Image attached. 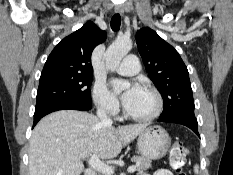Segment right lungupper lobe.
Returning a JSON list of instances; mask_svg holds the SVG:
<instances>
[{
    "label": "right lung upper lobe",
    "instance_id": "cb5924a9",
    "mask_svg": "<svg viewBox=\"0 0 233 175\" xmlns=\"http://www.w3.org/2000/svg\"><path fill=\"white\" fill-rule=\"evenodd\" d=\"M106 37L105 31L88 21L56 45L44 65L40 78L92 73V51L98 44L103 43Z\"/></svg>",
    "mask_w": 233,
    "mask_h": 175
}]
</instances>
